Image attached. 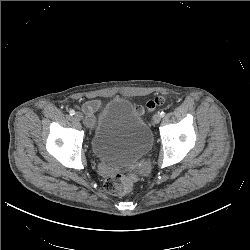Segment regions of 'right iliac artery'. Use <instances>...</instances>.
Instances as JSON below:
<instances>
[{
    "label": "right iliac artery",
    "instance_id": "right-iliac-artery-1",
    "mask_svg": "<svg viewBox=\"0 0 250 250\" xmlns=\"http://www.w3.org/2000/svg\"><path fill=\"white\" fill-rule=\"evenodd\" d=\"M69 114H70V115H74V114H75V111H74L73 109H71V110L69 111Z\"/></svg>",
    "mask_w": 250,
    "mask_h": 250
}]
</instances>
